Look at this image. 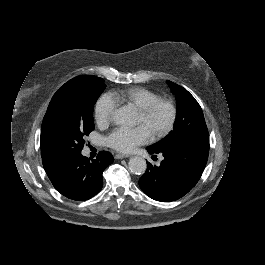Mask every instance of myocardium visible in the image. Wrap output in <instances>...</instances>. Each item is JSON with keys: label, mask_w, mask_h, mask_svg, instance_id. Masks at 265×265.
I'll use <instances>...</instances> for the list:
<instances>
[{"label": "myocardium", "mask_w": 265, "mask_h": 265, "mask_svg": "<svg viewBox=\"0 0 265 265\" xmlns=\"http://www.w3.org/2000/svg\"><path fill=\"white\" fill-rule=\"evenodd\" d=\"M160 106H163L167 109L168 118H167L166 123L159 130H157L154 134H152V137L154 140L164 137L172 130L175 124L176 118H177V109L175 105L167 99L158 98L138 111L142 117H144L145 119H148L150 116H152L155 110Z\"/></svg>", "instance_id": "f54148a6"}]
</instances>
